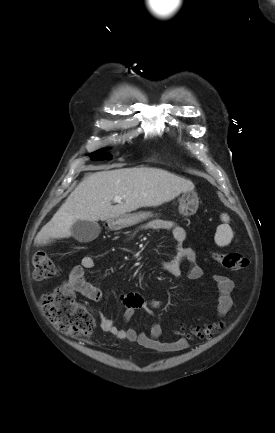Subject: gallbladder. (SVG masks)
I'll return each instance as SVG.
<instances>
[{
    "mask_svg": "<svg viewBox=\"0 0 275 433\" xmlns=\"http://www.w3.org/2000/svg\"><path fill=\"white\" fill-rule=\"evenodd\" d=\"M100 226L97 222L81 221L75 222L71 228L72 236L81 243L95 240L100 234Z\"/></svg>",
    "mask_w": 275,
    "mask_h": 433,
    "instance_id": "bac80fb5",
    "label": "gallbladder"
}]
</instances>
